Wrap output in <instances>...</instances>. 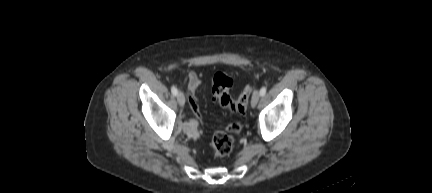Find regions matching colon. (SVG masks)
I'll return each mask as SVG.
<instances>
[{
    "mask_svg": "<svg viewBox=\"0 0 432 193\" xmlns=\"http://www.w3.org/2000/svg\"><path fill=\"white\" fill-rule=\"evenodd\" d=\"M233 82L232 75L224 72L216 73L212 82V93L223 108L234 113H243L248 106L253 88L246 86L237 98H233L231 95ZM211 147L217 158H225L234 149V139L226 132L218 130L213 134Z\"/></svg>",
    "mask_w": 432,
    "mask_h": 193,
    "instance_id": "5ec220e1",
    "label": "colon"
}]
</instances>
